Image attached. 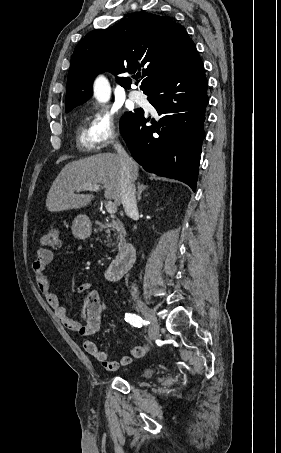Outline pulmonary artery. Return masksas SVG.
<instances>
[{
	"instance_id": "e3ab8cb5",
	"label": "pulmonary artery",
	"mask_w": 281,
	"mask_h": 453,
	"mask_svg": "<svg viewBox=\"0 0 281 453\" xmlns=\"http://www.w3.org/2000/svg\"><path fill=\"white\" fill-rule=\"evenodd\" d=\"M128 96L133 102L144 105L147 110L149 111L154 110V107L152 106L151 102L149 101L147 96L143 94V92L132 90L129 92Z\"/></svg>"
}]
</instances>
